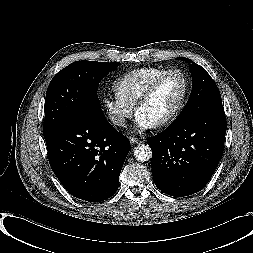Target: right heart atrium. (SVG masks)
<instances>
[{"mask_svg": "<svg viewBox=\"0 0 253 253\" xmlns=\"http://www.w3.org/2000/svg\"><path fill=\"white\" fill-rule=\"evenodd\" d=\"M102 105L109 121L120 128L125 127L127 120L132 116L134 111V106L116 93L103 98Z\"/></svg>", "mask_w": 253, "mask_h": 253, "instance_id": "d8ad5b80", "label": "right heart atrium"}]
</instances>
